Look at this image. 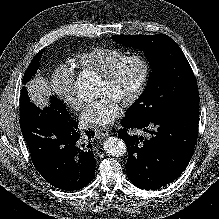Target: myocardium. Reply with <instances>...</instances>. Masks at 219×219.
<instances>
[{
    "mask_svg": "<svg viewBox=\"0 0 219 219\" xmlns=\"http://www.w3.org/2000/svg\"><path fill=\"white\" fill-rule=\"evenodd\" d=\"M129 61H137L140 63L142 67V75L133 94L122 104L123 108H130L134 106L144 94L151 74V66L148 58L140 53L125 55L99 76L100 80L109 83L118 74L120 69Z\"/></svg>",
    "mask_w": 219,
    "mask_h": 219,
    "instance_id": "obj_1",
    "label": "myocardium"
}]
</instances>
